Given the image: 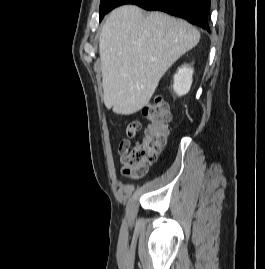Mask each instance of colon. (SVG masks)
Here are the masks:
<instances>
[{
  "label": "colon",
  "mask_w": 265,
  "mask_h": 269,
  "mask_svg": "<svg viewBox=\"0 0 265 269\" xmlns=\"http://www.w3.org/2000/svg\"><path fill=\"white\" fill-rule=\"evenodd\" d=\"M147 127L143 137L134 141L141 125L138 121L130 122L124 130L119 151L122 154L125 177L140 179L145 176L148 166L154 163L169 134L171 113L168 104L160 97H155L143 109Z\"/></svg>",
  "instance_id": "5ec220e1"
}]
</instances>
